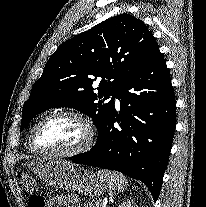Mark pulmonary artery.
<instances>
[{"label": "pulmonary artery", "mask_w": 206, "mask_h": 207, "mask_svg": "<svg viewBox=\"0 0 206 207\" xmlns=\"http://www.w3.org/2000/svg\"><path fill=\"white\" fill-rule=\"evenodd\" d=\"M115 101H116V104L119 105L120 99L117 96H115Z\"/></svg>", "instance_id": "e3ab8cb5"}]
</instances>
